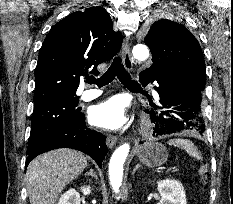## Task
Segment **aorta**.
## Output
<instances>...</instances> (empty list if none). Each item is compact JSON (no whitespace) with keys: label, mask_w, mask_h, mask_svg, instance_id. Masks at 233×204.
Masks as SVG:
<instances>
[{"label":"aorta","mask_w":233,"mask_h":204,"mask_svg":"<svg viewBox=\"0 0 233 204\" xmlns=\"http://www.w3.org/2000/svg\"><path fill=\"white\" fill-rule=\"evenodd\" d=\"M133 57L141 62L149 57V50L144 44H137L133 48ZM130 145L125 143L119 146L110 159L109 179L114 192H118L122 184L123 165L128 156Z\"/></svg>","instance_id":"obj_1"}]
</instances>
